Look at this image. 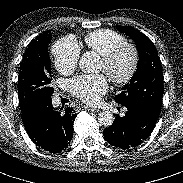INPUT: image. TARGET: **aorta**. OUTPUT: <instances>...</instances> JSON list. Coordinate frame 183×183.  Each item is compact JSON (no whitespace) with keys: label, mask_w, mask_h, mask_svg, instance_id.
<instances>
[{"label":"aorta","mask_w":183,"mask_h":183,"mask_svg":"<svg viewBox=\"0 0 183 183\" xmlns=\"http://www.w3.org/2000/svg\"><path fill=\"white\" fill-rule=\"evenodd\" d=\"M79 68L84 73H92L98 69V57L94 52H85L79 59ZM99 123L109 127L114 122V115L110 111H102L98 116Z\"/></svg>","instance_id":"1"}]
</instances>
